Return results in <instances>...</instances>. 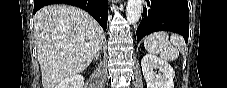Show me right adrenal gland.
Returning a JSON list of instances; mask_svg holds the SVG:
<instances>
[{
	"label": "right adrenal gland",
	"instance_id": "obj_1",
	"mask_svg": "<svg viewBox=\"0 0 227 88\" xmlns=\"http://www.w3.org/2000/svg\"><path fill=\"white\" fill-rule=\"evenodd\" d=\"M99 56H100V50L96 53V55L94 56V58H93V59L98 60V59H99Z\"/></svg>",
	"mask_w": 227,
	"mask_h": 88
}]
</instances>
